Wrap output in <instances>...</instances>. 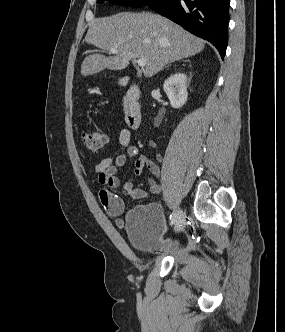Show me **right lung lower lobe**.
<instances>
[{
    "label": "right lung lower lobe",
    "instance_id": "obj_1",
    "mask_svg": "<svg viewBox=\"0 0 285 332\" xmlns=\"http://www.w3.org/2000/svg\"><path fill=\"white\" fill-rule=\"evenodd\" d=\"M147 6L211 42L224 58L228 42L229 0H153Z\"/></svg>",
    "mask_w": 285,
    "mask_h": 332
}]
</instances>
